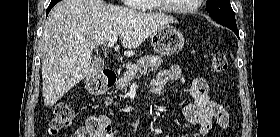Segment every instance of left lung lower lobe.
I'll list each match as a JSON object with an SVG mask.
<instances>
[{
  "instance_id": "left-lung-lower-lobe-1",
  "label": "left lung lower lobe",
  "mask_w": 280,
  "mask_h": 137,
  "mask_svg": "<svg viewBox=\"0 0 280 137\" xmlns=\"http://www.w3.org/2000/svg\"><path fill=\"white\" fill-rule=\"evenodd\" d=\"M228 28H230L239 38V32L237 30V27H228Z\"/></svg>"
}]
</instances>
